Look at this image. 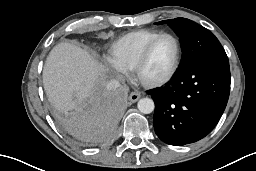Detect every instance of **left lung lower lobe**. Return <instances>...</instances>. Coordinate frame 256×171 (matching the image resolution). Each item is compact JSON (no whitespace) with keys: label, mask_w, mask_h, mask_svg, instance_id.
Returning <instances> with one entry per match:
<instances>
[{"label":"left lung lower lobe","mask_w":256,"mask_h":171,"mask_svg":"<svg viewBox=\"0 0 256 171\" xmlns=\"http://www.w3.org/2000/svg\"><path fill=\"white\" fill-rule=\"evenodd\" d=\"M230 80L227 56H212L179 68L164 87L147 91L155 103L157 136L182 146L209 134L225 110Z\"/></svg>","instance_id":"obj_1"}]
</instances>
